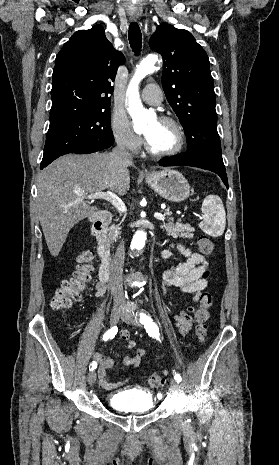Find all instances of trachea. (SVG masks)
<instances>
[{"label": "trachea", "mask_w": 279, "mask_h": 465, "mask_svg": "<svg viewBox=\"0 0 279 465\" xmlns=\"http://www.w3.org/2000/svg\"><path fill=\"white\" fill-rule=\"evenodd\" d=\"M129 43L132 50L138 54L142 48V34L136 22L130 23L128 32Z\"/></svg>", "instance_id": "3493384b"}]
</instances>
